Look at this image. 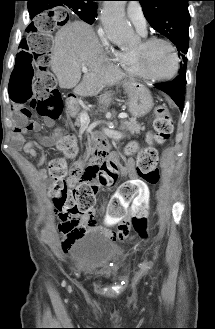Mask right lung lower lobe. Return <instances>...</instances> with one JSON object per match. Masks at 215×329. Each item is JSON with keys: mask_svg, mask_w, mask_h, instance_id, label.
Listing matches in <instances>:
<instances>
[{"mask_svg": "<svg viewBox=\"0 0 215 329\" xmlns=\"http://www.w3.org/2000/svg\"><path fill=\"white\" fill-rule=\"evenodd\" d=\"M28 10L30 13V18L32 19L35 15L43 11V8L39 1H28Z\"/></svg>", "mask_w": 215, "mask_h": 329, "instance_id": "98d812e1", "label": "right lung lower lobe"}]
</instances>
